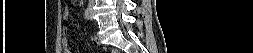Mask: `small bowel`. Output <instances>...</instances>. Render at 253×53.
Masks as SVG:
<instances>
[{
  "instance_id": "c3829d8e",
  "label": "small bowel",
  "mask_w": 253,
  "mask_h": 53,
  "mask_svg": "<svg viewBox=\"0 0 253 53\" xmlns=\"http://www.w3.org/2000/svg\"><path fill=\"white\" fill-rule=\"evenodd\" d=\"M68 16H69L68 11L65 10L63 12V19L64 20L68 19ZM67 33H68L67 28H63V34H64V36L67 35ZM63 47L66 50V52H69L70 47H69L68 39L66 37L63 39Z\"/></svg>"
}]
</instances>
